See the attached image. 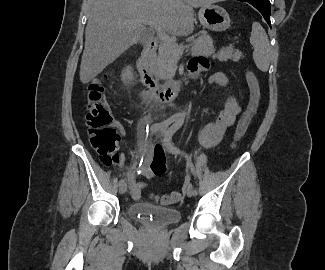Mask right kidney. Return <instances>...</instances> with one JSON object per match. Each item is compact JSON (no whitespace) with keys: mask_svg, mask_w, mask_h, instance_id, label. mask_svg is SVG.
<instances>
[{"mask_svg":"<svg viewBox=\"0 0 325 270\" xmlns=\"http://www.w3.org/2000/svg\"><path fill=\"white\" fill-rule=\"evenodd\" d=\"M132 78H133V75L130 72V69L128 67L123 73V80H124L125 83H129V81H131Z\"/></svg>","mask_w":325,"mask_h":270,"instance_id":"1","label":"right kidney"}]
</instances>
